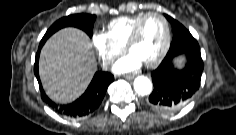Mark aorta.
Returning <instances> with one entry per match:
<instances>
[{
  "label": "aorta",
  "instance_id": "1",
  "mask_svg": "<svg viewBox=\"0 0 236 135\" xmlns=\"http://www.w3.org/2000/svg\"><path fill=\"white\" fill-rule=\"evenodd\" d=\"M134 89L139 95H148L152 91V83L146 76H138L134 80Z\"/></svg>",
  "mask_w": 236,
  "mask_h": 135
}]
</instances>
